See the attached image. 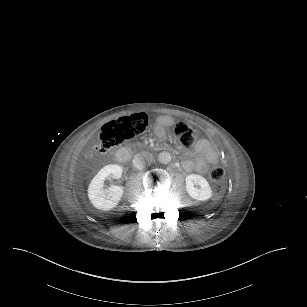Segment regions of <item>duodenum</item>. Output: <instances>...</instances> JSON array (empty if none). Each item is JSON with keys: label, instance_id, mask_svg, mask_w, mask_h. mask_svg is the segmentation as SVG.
Here are the masks:
<instances>
[{"label": "duodenum", "instance_id": "410a0bca", "mask_svg": "<svg viewBox=\"0 0 307 307\" xmlns=\"http://www.w3.org/2000/svg\"><path fill=\"white\" fill-rule=\"evenodd\" d=\"M128 149L126 147L124 148H120L117 149L114 153H113V157L114 159L118 162V163H125L128 160Z\"/></svg>", "mask_w": 307, "mask_h": 307}]
</instances>
